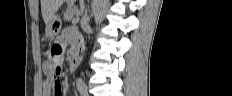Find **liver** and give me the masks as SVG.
<instances>
[{"label":"liver","instance_id":"liver-1","mask_svg":"<svg viewBox=\"0 0 232 96\" xmlns=\"http://www.w3.org/2000/svg\"><path fill=\"white\" fill-rule=\"evenodd\" d=\"M63 1L64 0H41L42 17L46 26L51 22Z\"/></svg>","mask_w":232,"mask_h":96}]
</instances>
